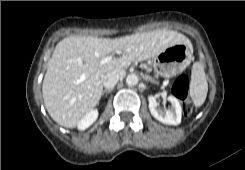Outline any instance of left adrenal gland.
<instances>
[{
	"label": "left adrenal gland",
	"instance_id": "obj_1",
	"mask_svg": "<svg viewBox=\"0 0 245 170\" xmlns=\"http://www.w3.org/2000/svg\"><path fill=\"white\" fill-rule=\"evenodd\" d=\"M144 79H145V81H149V80L151 81V79L148 78L147 76H145Z\"/></svg>",
	"mask_w": 245,
	"mask_h": 170
}]
</instances>
